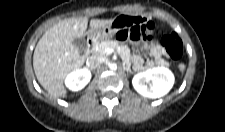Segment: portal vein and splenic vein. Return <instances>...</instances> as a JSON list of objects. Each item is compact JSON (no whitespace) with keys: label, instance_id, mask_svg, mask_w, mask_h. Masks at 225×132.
<instances>
[{"label":"portal vein and splenic vein","instance_id":"18ae733b","mask_svg":"<svg viewBox=\"0 0 225 132\" xmlns=\"http://www.w3.org/2000/svg\"><path fill=\"white\" fill-rule=\"evenodd\" d=\"M114 52H115V50L112 49V48H107V49L105 50V53H106V54H111V53H114Z\"/></svg>","mask_w":225,"mask_h":132}]
</instances>
